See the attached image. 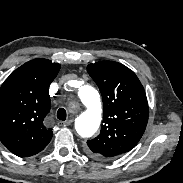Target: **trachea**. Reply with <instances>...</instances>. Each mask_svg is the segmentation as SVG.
<instances>
[{"label":"trachea","instance_id":"3493384b","mask_svg":"<svg viewBox=\"0 0 183 183\" xmlns=\"http://www.w3.org/2000/svg\"><path fill=\"white\" fill-rule=\"evenodd\" d=\"M66 117H67L66 110L64 108L58 109V111H57V118L59 120L65 121Z\"/></svg>","mask_w":183,"mask_h":183}]
</instances>
